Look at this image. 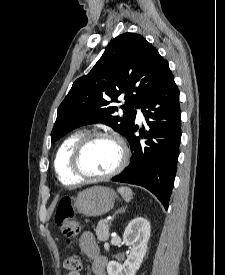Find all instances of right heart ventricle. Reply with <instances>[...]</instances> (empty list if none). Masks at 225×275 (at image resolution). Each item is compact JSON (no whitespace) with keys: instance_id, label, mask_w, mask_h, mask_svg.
I'll use <instances>...</instances> for the list:
<instances>
[{"instance_id":"right-heart-ventricle-1","label":"right heart ventricle","mask_w":225,"mask_h":275,"mask_svg":"<svg viewBox=\"0 0 225 275\" xmlns=\"http://www.w3.org/2000/svg\"><path fill=\"white\" fill-rule=\"evenodd\" d=\"M83 135V132L77 131L66 137L60 144L55 159L54 169L60 182L66 185L77 184L81 179L76 177L70 169V154L73 146Z\"/></svg>"}]
</instances>
